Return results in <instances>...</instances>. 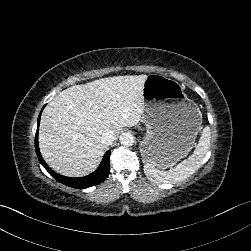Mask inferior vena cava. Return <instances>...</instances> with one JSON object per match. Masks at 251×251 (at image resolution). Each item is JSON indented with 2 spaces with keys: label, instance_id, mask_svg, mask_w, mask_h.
Here are the masks:
<instances>
[{
  "label": "inferior vena cava",
  "instance_id": "1",
  "mask_svg": "<svg viewBox=\"0 0 251 251\" xmlns=\"http://www.w3.org/2000/svg\"><path fill=\"white\" fill-rule=\"evenodd\" d=\"M115 138V133L112 130L107 129L101 136V144L105 147L111 146L114 143Z\"/></svg>",
  "mask_w": 251,
  "mask_h": 251
}]
</instances>
